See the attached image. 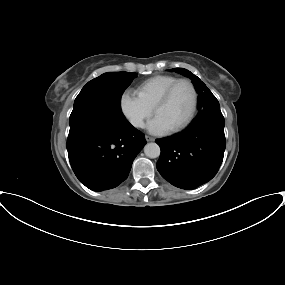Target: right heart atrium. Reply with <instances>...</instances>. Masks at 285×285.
<instances>
[{
	"label": "right heart atrium",
	"instance_id": "right-heart-atrium-1",
	"mask_svg": "<svg viewBox=\"0 0 285 285\" xmlns=\"http://www.w3.org/2000/svg\"><path fill=\"white\" fill-rule=\"evenodd\" d=\"M119 108L123 117L134 128H142L145 121L153 113V109L130 90H125L121 93Z\"/></svg>",
	"mask_w": 285,
	"mask_h": 285
}]
</instances>
